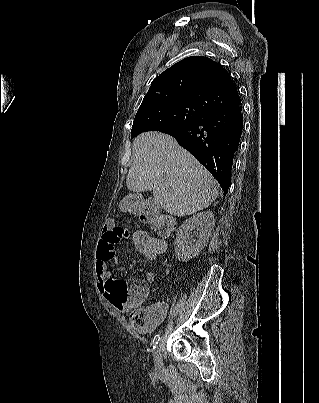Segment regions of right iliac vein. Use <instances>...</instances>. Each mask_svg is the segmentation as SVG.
Listing matches in <instances>:
<instances>
[{
  "label": "right iliac vein",
  "mask_w": 319,
  "mask_h": 403,
  "mask_svg": "<svg viewBox=\"0 0 319 403\" xmlns=\"http://www.w3.org/2000/svg\"><path fill=\"white\" fill-rule=\"evenodd\" d=\"M154 365H155V370L157 372H160L162 369V355H161V348L160 346H157L154 352Z\"/></svg>",
  "instance_id": "1"
}]
</instances>
